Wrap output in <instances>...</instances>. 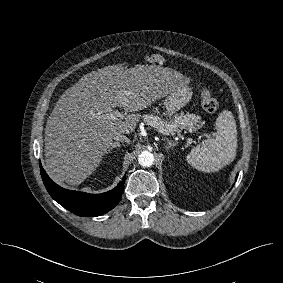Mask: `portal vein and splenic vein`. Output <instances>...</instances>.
Wrapping results in <instances>:
<instances>
[{
  "instance_id": "1",
  "label": "portal vein and splenic vein",
  "mask_w": 283,
  "mask_h": 283,
  "mask_svg": "<svg viewBox=\"0 0 283 283\" xmlns=\"http://www.w3.org/2000/svg\"><path fill=\"white\" fill-rule=\"evenodd\" d=\"M105 118L112 120H120L123 118V115L119 111H112L110 113L105 114ZM176 132L179 133L180 131H176Z\"/></svg>"
}]
</instances>
